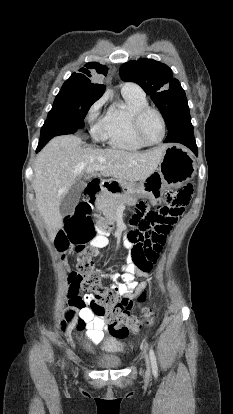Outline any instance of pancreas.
<instances>
[{
  "instance_id": "obj_1",
  "label": "pancreas",
  "mask_w": 233,
  "mask_h": 414,
  "mask_svg": "<svg viewBox=\"0 0 233 414\" xmlns=\"http://www.w3.org/2000/svg\"><path fill=\"white\" fill-rule=\"evenodd\" d=\"M123 201L120 195L103 193L99 198V207L104 216L115 219L117 207Z\"/></svg>"
}]
</instances>
